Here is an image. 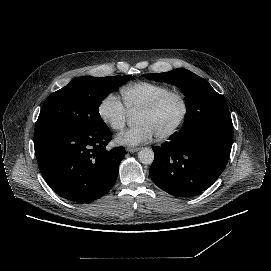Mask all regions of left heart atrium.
<instances>
[{"mask_svg":"<svg viewBox=\"0 0 271 271\" xmlns=\"http://www.w3.org/2000/svg\"><path fill=\"white\" fill-rule=\"evenodd\" d=\"M155 137L153 131L147 124H139L115 138V142L121 146L136 147L149 143Z\"/></svg>","mask_w":271,"mask_h":271,"instance_id":"39dd6f15","label":"left heart atrium"}]
</instances>
